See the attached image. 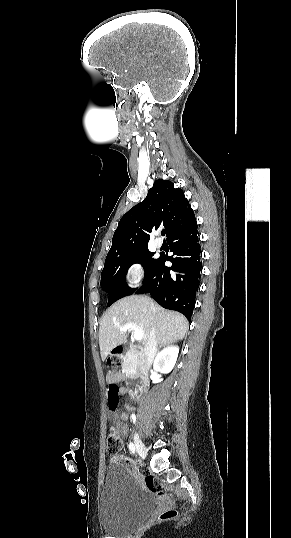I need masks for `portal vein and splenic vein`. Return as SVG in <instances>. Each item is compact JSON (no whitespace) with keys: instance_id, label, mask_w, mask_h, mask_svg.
<instances>
[{"instance_id":"18ae733b","label":"portal vein and splenic vein","mask_w":291,"mask_h":538,"mask_svg":"<svg viewBox=\"0 0 291 538\" xmlns=\"http://www.w3.org/2000/svg\"><path fill=\"white\" fill-rule=\"evenodd\" d=\"M120 331L124 332L126 330H133L134 331V339L137 341L142 340L144 333L141 328H139L136 324L133 323H125L124 325L120 326Z\"/></svg>"}]
</instances>
